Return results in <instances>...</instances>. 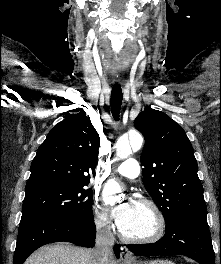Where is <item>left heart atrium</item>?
Wrapping results in <instances>:
<instances>
[{
	"label": "left heart atrium",
	"mask_w": 221,
	"mask_h": 264,
	"mask_svg": "<svg viewBox=\"0 0 221 264\" xmlns=\"http://www.w3.org/2000/svg\"><path fill=\"white\" fill-rule=\"evenodd\" d=\"M134 208V202L123 201L112 208L111 215L119 228L123 227L130 219Z\"/></svg>",
	"instance_id": "obj_1"
}]
</instances>
